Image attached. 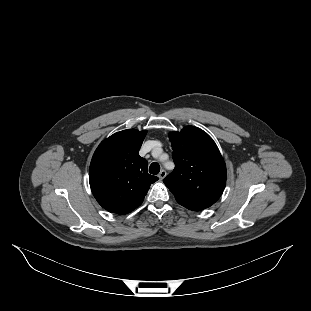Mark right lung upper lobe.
I'll list each match as a JSON object with an SVG mask.
<instances>
[{
    "instance_id": "cb5924a9",
    "label": "right lung upper lobe",
    "mask_w": 311,
    "mask_h": 311,
    "mask_svg": "<svg viewBox=\"0 0 311 311\" xmlns=\"http://www.w3.org/2000/svg\"><path fill=\"white\" fill-rule=\"evenodd\" d=\"M146 131L128 129L101 142L90 164V187L106 210L127 214L141 205L158 177L147 172V161L139 156Z\"/></svg>"
}]
</instances>
